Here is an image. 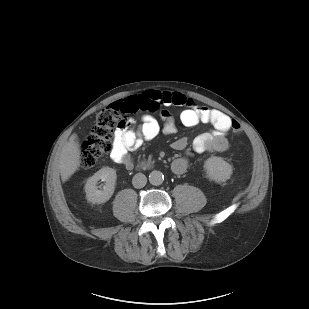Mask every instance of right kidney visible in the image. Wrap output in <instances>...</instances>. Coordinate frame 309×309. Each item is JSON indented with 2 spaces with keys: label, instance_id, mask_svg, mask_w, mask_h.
Wrapping results in <instances>:
<instances>
[{
  "label": "right kidney",
  "instance_id": "1",
  "mask_svg": "<svg viewBox=\"0 0 309 309\" xmlns=\"http://www.w3.org/2000/svg\"><path fill=\"white\" fill-rule=\"evenodd\" d=\"M116 171L109 167H104L90 177L85 184L86 198L92 203H105L114 193L116 185ZM99 180L105 182L103 190H98L96 184Z\"/></svg>",
  "mask_w": 309,
  "mask_h": 309
}]
</instances>
